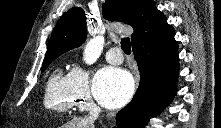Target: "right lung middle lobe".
<instances>
[{"label":"right lung middle lobe","instance_id":"right-lung-middle-lobe-1","mask_svg":"<svg viewBox=\"0 0 221 128\" xmlns=\"http://www.w3.org/2000/svg\"><path fill=\"white\" fill-rule=\"evenodd\" d=\"M55 58L56 57L45 59L43 62L42 71H44Z\"/></svg>","mask_w":221,"mask_h":128}]
</instances>
